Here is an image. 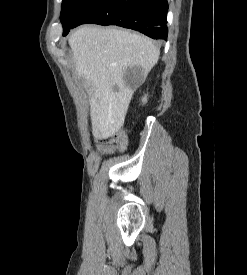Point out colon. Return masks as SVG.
I'll list each match as a JSON object with an SVG mask.
<instances>
[{"instance_id": "5ec220e1", "label": "colon", "mask_w": 247, "mask_h": 275, "mask_svg": "<svg viewBox=\"0 0 247 275\" xmlns=\"http://www.w3.org/2000/svg\"><path fill=\"white\" fill-rule=\"evenodd\" d=\"M126 141V137L122 133H116L114 135L104 137L101 139L102 143L109 144L114 142L124 143Z\"/></svg>"}]
</instances>
